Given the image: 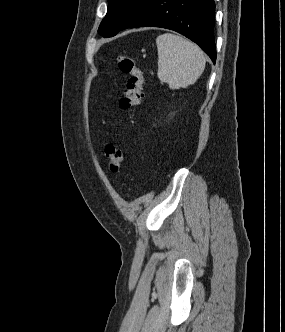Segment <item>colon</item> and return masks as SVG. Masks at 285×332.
Returning a JSON list of instances; mask_svg holds the SVG:
<instances>
[{"mask_svg":"<svg viewBox=\"0 0 285 332\" xmlns=\"http://www.w3.org/2000/svg\"><path fill=\"white\" fill-rule=\"evenodd\" d=\"M117 65L122 73L128 75V81L120 99V107L125 111H129L142 102L144 96L143 89L146 81L145 76L137 62L130 56L119 55L117 57ZM104 154L108 162L109 170L112 173H117L123 162L121 150L114 145H107Z\"/></svg>","mask_w":285,"mask_h":332,"instance_id":"1","label":"colon"}]
</instances>
